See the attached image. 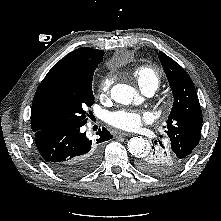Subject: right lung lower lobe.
<instances>
[{
  "label": "right lung lower lobe",
  "mask_w": 221,
  "mask_h": 221,
  "mask_svg": "<svg viewBox=\"0 0 221 221\" xmlns=\"http://www.w3.org/2000/svg\"><path fill=\"white\" fill-rule=\"evenodd\" d=\"M93 141L81 132V126L67 130L38 131L37 149L46 163L64 177H79L92 171L99 163L101 144L112 138L105 128L99 129Z\"/></svg>",
  "instance_id": "98d812e1"
}]
</instances>
